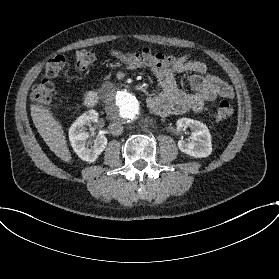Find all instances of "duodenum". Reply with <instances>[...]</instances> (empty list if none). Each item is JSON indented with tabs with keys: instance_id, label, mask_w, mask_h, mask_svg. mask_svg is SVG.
Segmentation results:
<instances>
[{
	"instance_id": "410a0bca",
	"label": "duodenum",
	"mask_w": 279,
	"mask_h": 279,
	"mask_svg": "<svg viewBox=\"0 0 279 279\" xmlns=\"http://www.w3.org/2000/svg\"><path fill=\"white\" fill-rule=\"evenodd\" d=\"M115 89H116V84L114 82H106L101 86L99 91L97 90L88 91L84 97V105L89 109L94 108L99 101L100 94L106 95L113 92Z\"/></svg>"
}]
</instances>
